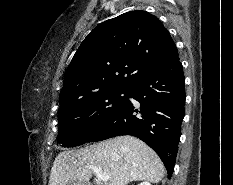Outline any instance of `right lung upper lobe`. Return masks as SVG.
<instances>
[{
    "label": "right lung upper lobe",
    "instance_id": "right-lung-upper-lobe-1",
    "mask_svg": "<svg viewBox=\"0 0 233 185\" xmlns=\"http://www.w3.org/2000/svg\"><path fill=\"white\" fill-rule=\"evenodd\" d=\"M177 59L175 43L157 17L141 10L124 13L99 24L81 43L65 73L60 106L100 91L128 89Z\"/></svg>",
    "mask_w": 233,
    "mask_h": 185
}]
</instances>
